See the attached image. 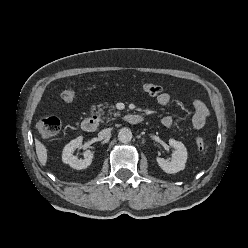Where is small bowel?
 Wrapping results in <instances>:
<instances>
[{"mask_svg": "<svg viewBox=\"0 0 248 248\" xmlns=\"http://www.w3.org/2000/svg\"><path fill=\"white\" fill-rule=\"evenodd\" d=\"M171 100L170 94L164 92L157 96V102L159 105L165 106ZM194 114L188 121V125L194 129H201L207 122L209 117V110L205 103L200 99H195L193 101ZM162 124L170 128L175 125V119L171 116H165L162 118Z\"/></svg>", "mask_w": 248, "mask_h": 248, "instance_id": "c3829d8e", "label": "small bowel"}]
</instances>
